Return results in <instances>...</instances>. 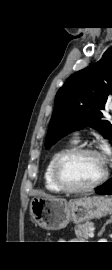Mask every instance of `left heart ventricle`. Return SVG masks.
Listing matches in <instances>:
<instances>
[{
  "instance_id": "left-heart-ventricle-1",
  "label": "left heart ventricle",
  "mask_w": 112,
  "mask_h": 270,
  "mask_svg": "<svg viewBox=\"0 0 112 270\" xmlns=\"http://www.w3.org/2000/svg\"><path fill=\"white\" fill-rule=\"evenodd\" d=\"M104 167L101 156L82 154L68 159L63 166V173L70 184L86 186L102 175Z\"/></svg>"
}]
</instances>
